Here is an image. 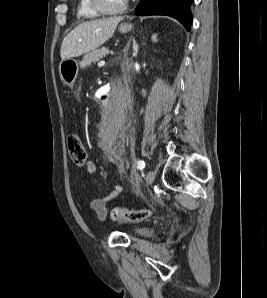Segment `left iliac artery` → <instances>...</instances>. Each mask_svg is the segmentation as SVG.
Segmentation results:
<instances>
[{"label": "left iliac artery", "instance_id": "obj_1", "mask_svg": "<svg viewBox=\"0 0 267 298\" xmlns=\"http://www.w3.org/2000/svg\"><path fill=\"white\" fill-rule=\"evenodd\" d=\"M145 168V162L142 159H139L137 161V169L139 171L143 170Z\"/></svg>", "mask_w": 267, "mask_h": 298}]
</instances>
